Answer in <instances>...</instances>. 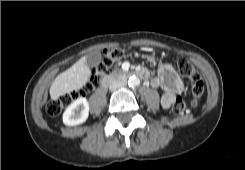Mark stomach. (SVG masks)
<instances>
[{"mask_svg":"<svg viewBox=\"0 0 245 170\" xmlns=\"http://www.w3.org/2000/svg\"><path fill=\"white\" fill-rule=\"evenodd\" d=\"M146 59L149 61V62H155V58L153 56H146Z\"/></svg>","mask_w":245,"mask_h":170,"instance_id":"0dacf381","label":"stomach"}]
</instances>
